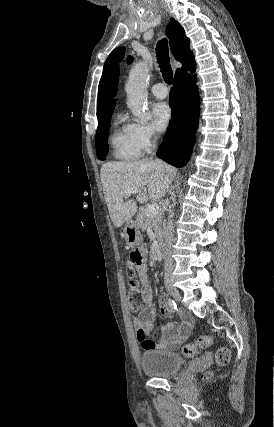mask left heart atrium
I'll return each instance as SVG.
<instances>
[{"label":"left heart atrium","instance_id":"1","mask_svg":"<svg viewBox=\"0 0 274 427\" xmlns=\"http://www.w3.org/2000/svg\"><path fill=\"white\" fill-rule=\"evenodd\" d=\"M153 127L156 131H164L172 118V110L165 102L156 103L152 108Z\"/></svg>","mask_w":274,"mask_h":427}]
</instances>
